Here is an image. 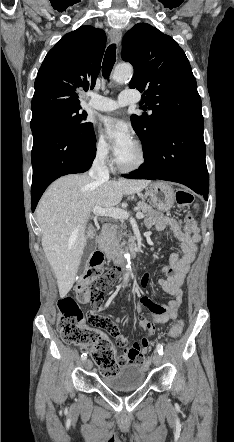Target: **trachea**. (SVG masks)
<instances>
[{"mask_svg": "<svg viewBox=\"0 0 234 442\" xmlns=\"http://www.w3.org/2000/svg\"><path fill=\"white\" fill-rule=\"evenodd\" d=\"M116 60V45L111 44L105 53L103 64H102V74L105 79H109L112 68Z\"/></svg>", "mask_w": 234, "mask_h": 442, "instance_id": "obj_1", "label": "trachea"}]
</instances>
